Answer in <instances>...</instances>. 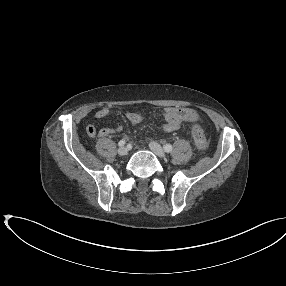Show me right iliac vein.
Returning a JSON list of instances; mask_svg holds the SVG:
<instances>
[{
    "instance_id": "1",
    "label": "right iliac vein",
    "mask_w": 286,
    "mask_h": 286,
    "mask_svg": "<svg viewBox=\"0 0 286 286\" xmlns=\"http://www.w3.org/2000/svg\"><path fill=\"white\" fill-rule=\"evenodd\" d=\"M127 153H128V149H127L126 147H124V146H121V147L118 149V154H119L120 156H125V155H127Z\"/></svg>"
}]
</instances>
